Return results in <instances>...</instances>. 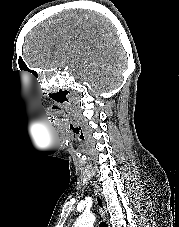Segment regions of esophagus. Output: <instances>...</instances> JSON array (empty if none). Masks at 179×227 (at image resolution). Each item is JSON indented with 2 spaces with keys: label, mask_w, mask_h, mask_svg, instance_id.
Instances as JSON below:
<instances>
[{
  "label": "esophagus",
  "mask_w": 179,
  "mask_h": 227,
  "mask_svg": "<svg viewBox=\"0 0 179 227\" xmlns=\"http://www.w3.org/2000/svg\"><path fill=\"white\" fill-rule=\"evenodd\" d=\"M95 196H96V204L99 209V212L103 218V220L109 224V218H108V212L104 203V200L102 198V195L100 193V189L97 184H95Z\"/></svg>",
  "instance_id": "esophagus-1"
}]
</instances>
